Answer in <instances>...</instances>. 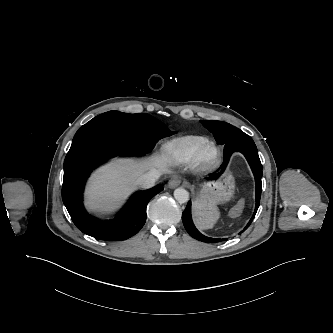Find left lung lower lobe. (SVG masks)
<instances>
[{
	"label": "left lung lower lobe",
	"mask_w": 333,
	"mask_h": 333,
	"mask_svg": "<svg viewBox=\"0 0 333 333\" xmlns=\"http://www.w3.org/2000/svg\"><path fill=\"white\" fill-rule=\"evenodd\" d=\"M233 152H241L247 159L253 174L255 176L256 181V207L252 218L250 219L247 226L244 228L246 230L259 208L260 204V197H261V190H262V165L258 156L257 148L251 137L245 134L243 131H238L234 134L231 139L224 145V161L223 164L220 166L219 170L215 173L211 174L208 179H217L226 169L229 158ZM182 221L184 224L185 229L189 233V235L199 241L207 242V243H217L221 242L226 239H217V238H210L201 234L193 224L191 218V202L189 201L184 212L182 213ZM243 230V231H244ZM242 231V232H243ZM241 234V232L239 233Z\"/></svg>",
	"instance_id": "1"
}]
</instances>
